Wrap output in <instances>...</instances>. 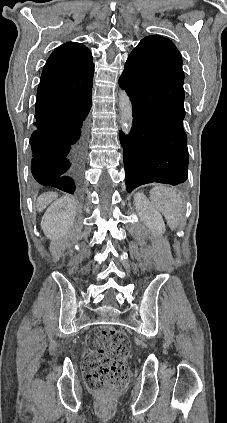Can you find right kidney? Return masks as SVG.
Wrapping results in <instances>:
<instances>
[{
	"label": "right kidney",
	"mask_w": 227,
	"mask_h": 423,
	"mask_svg": "<svg viewBox=\"0 0 227 423\" xmlns=\"http://www.w3.org/2000/svg\"><path fill=\"white\" fill-rule=\"evenodd\" d=\"M75 219L76 206L72 196H62L45 211L41 219V229L48 239H56L71 229Z\"/></svg>",
	"instance_id": "right-kidney-1"
}]
</instances>
